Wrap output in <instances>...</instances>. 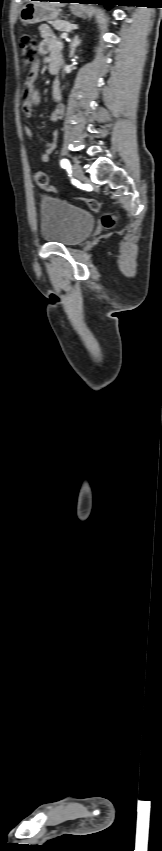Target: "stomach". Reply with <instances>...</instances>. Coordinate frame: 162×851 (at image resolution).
<instances>
[{
  "instance_id": "0dacf381",
  "label": "stomach",
  "mask_w": 162,
  "mask_h": 851,
  "mask_svg": "<svg viewBox=\"0 0 162 851\" xmlns=\"http://www.w3.org/2000/svg\"><path fill=\"white\" fill-rule=\"evenodd\" d=\"M72 12L77 16H82L86 11L79 4H71ZM60 9L54 7H46L40 3L29 0L20 10L19 18L25 25L35 24L42 21H51L56 19L60 14ZM90 13V12H88Z\"/></svg>"
}]
</instances>
